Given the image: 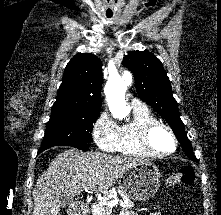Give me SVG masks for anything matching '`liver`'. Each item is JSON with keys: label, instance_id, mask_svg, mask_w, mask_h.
Instances as JSON below:
<instances>
[{"label": "liver", "instance_id": "liver-1", "mask_svg": "<svg viewBox=\"0 0 221 215\" xmlns=\"http://www.w3.org/2000/svg\"><path fill=\"white\" fill-rule=\"evenodd\" d=\"M142 160L71 148L59 153L39 177L33 190V215H57L62 199L84 189L105 192L123 172Z\"/></svg>", "mask_w": 221, "mask_h": 215}]
</instances>
